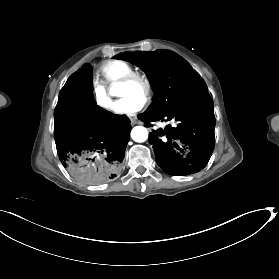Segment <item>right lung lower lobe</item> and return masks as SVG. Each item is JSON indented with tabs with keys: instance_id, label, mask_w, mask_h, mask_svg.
I'll use <instances>...</instances> for the list:
<instances>
[{
	"instance_id": "1",
	"label": "right lung lower lobe",
	"mask_w": 279,
	"mask_h": 279,
	"mask_svg": "<svg viewBox=\"0 0 279 279\" xmlns=\"http://www.w3.org/2000/svg\"><path fill=\"white\" fill-rule=\"evenodd\" d=\"M92 81L88 63L69 77L55 108L54 137L62 165L76 179L99 185L120 174L131 126L126 116L96 104Z\"/></svg>"
}]
</instances>
